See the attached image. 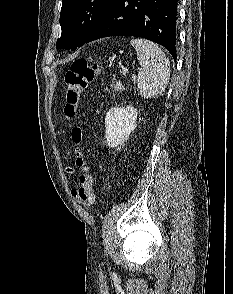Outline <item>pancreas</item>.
<instances>
[{"label": "pancreas", "instance_id": "cf45deb5", "mask_svg": "<svg viewBox=\"0 0 233 294\" xmlns=\"http://www.w3.org/2000/svg\"><path fill=\"white\" fill-rule=\"evenodd\" d=\"M111 87H114L116 91H123L124 86L122 85L121 82L117 81V82H113L111 84Z\"/></svg>", "mask_w": 233, "mask_h": 294}]
</instances>
